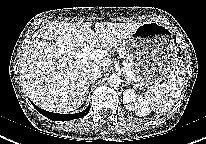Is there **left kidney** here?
<instances>
[{
	"instance_id": "left-kidney-1",
	"label": "left kidney",
	"mask_w": 206,
	"mask_h": 144,
	"mask_svg": "<svg viewBox=\"0 0 206 144\" xmlns=\"http://www.w3.org/2000/svg\"><path fill=\"white\" fill-rule=\"evenodd\" d=\"M123 104L128 111H135V114L140 117L149 115L151 111L146 100L137 95L132 89L123 92Z\"/></svg>"
}]
</instances>
